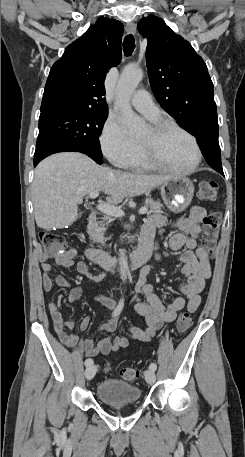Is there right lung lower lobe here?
Masks as SVG:
<instances>
[{
	"instance_id": "1",
	"label": "right lung lower lobe",
	"mask_w": 245,
	"mask_h": 457,
	"mask_svg": "<svg viewBox=\"0 0 245 457\" xmlns=\"http://www.w3.org/2000/svg\"><path fill=\"white\" fill-rule=\"evenodd\" d=\"M69 151H74V150L67 149V148H55V149L47 150L40 154L34 155V166H36L42 159H44L45 157H47L51 154L58 153V152H69Z\"/></svg>"
}]
</instances>
